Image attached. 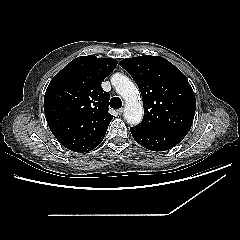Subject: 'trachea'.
<instances>
[{"label": "trachea", "mask_w": 240, "mask_h": 240, "mask_svg": "<svg viewBox=\"0 0 240 240\" xmlns=\"http://www.w3.org/2000/svg\"><path fill=\"white\" fill-rule=\"evenodd\" d=\"M122 106V101L119 97H113L110 100V107L113 109H119Z\"/></svg>", "instance_id": "trachea-1"}]
</instances>
